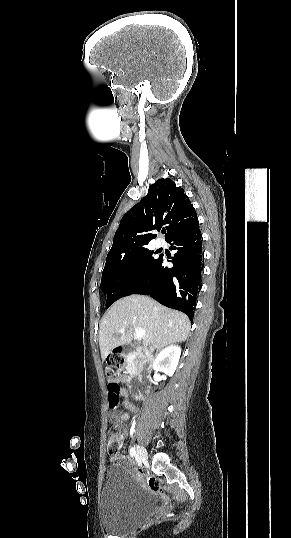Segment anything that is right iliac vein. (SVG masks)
<instances>
[{
    "instance_id": "63e3f726",
    "label": "right iliac vein",
    "mask_w": 291,
    "mask_h": 538,
    "mask_svg": "<svg viewBox=\"0 0 291 538\" xmlns=\"http://www.w3.org/2000/svg\"><path fill=\"white\" fill-rule=\"evenodd\" d=\"M137 456L142 462H145L148 458L146 449L141 445L137 446Z\"/></svg>"
}]
</instances>
